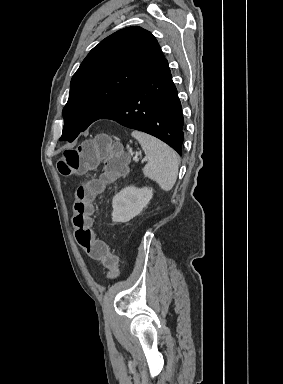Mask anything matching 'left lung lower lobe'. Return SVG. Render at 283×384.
<instances>
[{
	"mask_svg": "<svg viewBox=\"0 0 283 384\" xmlns=\"http://www.w3.org/2000/svg\"><path fill=\"white\" fill-rule=\"evenodd\" d=\"M100 119L151 134L182 154L183 114L167 60L149 73L126 97Z\"/></svg>",
	"mask_w": 283,
	"mask_h": 384,
	"instance_id": "left-lung-lower-lobe-1",
	"label": "left lung lower lobe"
}]
</instances>
